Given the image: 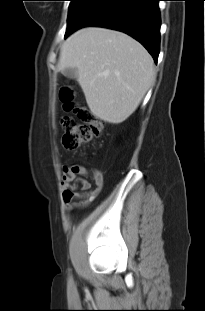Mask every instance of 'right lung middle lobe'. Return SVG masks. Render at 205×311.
I'll use <instances>...</instances> for the list:
<instances>
[{"mask_svg": "<svg viewBox=\"0 0 205 311\" xmlns=\"http://www.w3.org/2000/svg\"><path fill=\"white\" fill-rule=\"evenodd\" d=\"M70 7H69V15H68V27L67 32L70 31L75 21L78 19L80 14L83 12L85 6L90 0H70Z\"/></svg>", "mask_w": 205, "mask_h": 311, "instance_id": "1", "label": "right lung middle lobe"}]
</instances>
